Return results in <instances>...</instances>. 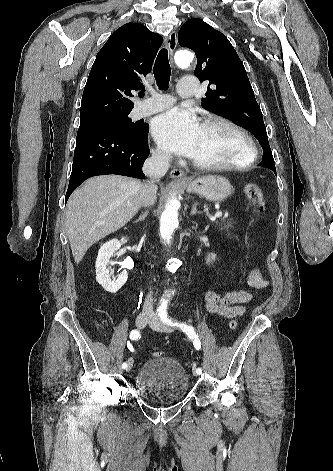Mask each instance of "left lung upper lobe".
<instances>
[{
    "label": "left lung upper lobe",
    "instance_id": "obj_1",
    "mask_svg": "<svg viewBox=\"0 0 333 471\" xmlns=\"http://www.w3.org/2000/svg\"><path fill=\"white\" fill-rule=\"evenodd\" d=\"M178 42L195 52L197 78L214 85L213 89H207L203 107L251 131L262 146L263 166L273 171L275 164L262 112L244 65L230 41L203 20L193 18L181 26Z\"/></svg>",
    "mask_w": 333,
    "mask_h": 471
}]
</instances>
